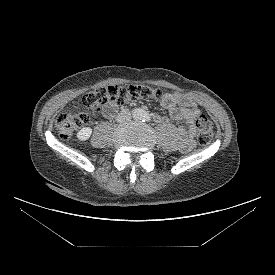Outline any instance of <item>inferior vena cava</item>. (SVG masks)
I'll list each match as a JSON object with an SVG mask.
<instances>
[{"mask_svg": "<svg viewBox=\"0 0 275 275\" xmlns=\"http://www.w3.org/2000/svg\"><path fill=\"white\" fill-rule=\"evenodd\" d=\"M130 119H131V113L128 109L122 110L116 117V121L119 123L129 121Z\"/></svg>", "mask_w": 275, "mask_h": 275, "instance_id": "obj_1", "label": "inferior vena cava"}]
</instances>
